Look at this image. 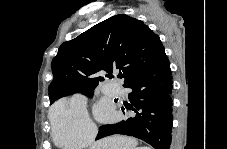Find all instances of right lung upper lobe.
Here are the masks:
<instances>
[{"mask_svg":"<svg viewBox=\"0 0 227 149\" xmlns=\"http://www.w3.org/2000/svg\"><path fill=\"white\" fill-rule=\"evenodd\" d=\"M166 57L159 36L147 25L124 14L115 15L59 47L51 65L50 102L94 90L103 80L101 71L118 70L125 83Z\"/></svg>","mask_w":227,"mask_h":149,"instance_id":"right-lung-upper-lobe-1","label":"right lung upper lobe"}]
</instances>
